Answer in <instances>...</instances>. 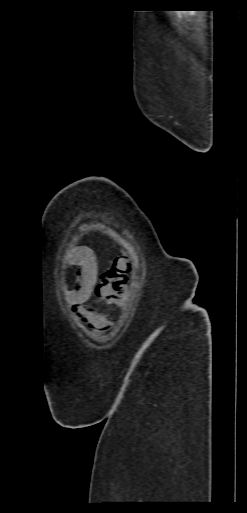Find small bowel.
Returning a JSON list of instances; mask_svg holds the SVG:
<instances>
[{"mask_svg":"<svg viewBox=\"0 0 247 513\" xmlns=\"http://www.w3.org/2000/svg\"><path fill=\"white\" fill-rule=\"evenodd\" d=\"M65 263L74 268V283L68 285L64 280L61 290L72 310L89 325L107 331L111 326V319L105 315L97 314L95 310L86 306L96 285L97 266L91 254L83 251H68L65 254Z\"/></svg>","mask_w":247,"mask_h":513,"instance_id":"1","label":"small bowel"}]
</instances>
